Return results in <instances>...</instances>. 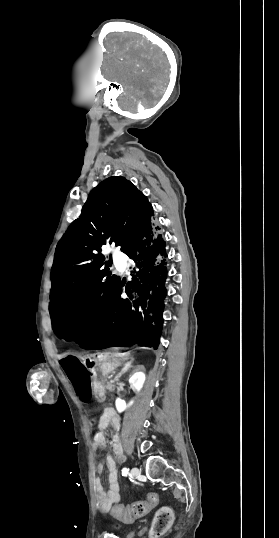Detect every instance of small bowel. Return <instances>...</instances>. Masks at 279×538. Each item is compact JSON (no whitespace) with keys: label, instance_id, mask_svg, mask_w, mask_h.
<instances>
[{"label":"small bowel","instance_id":"small-bowel-1","mask_svg":"<svg viewBox=\"0 0 279 538\" xmlns=\"http://www.w3.org/2000/svg\"><path fill=\"white\" fill-rule=\"evenodd\" d=\"M76 396L82 402H89L93 396V379L90 373L85 369H77L67 373ZM110 425L116 432L119 430V421L115 414L104 413L97 423L98 430L94 435L93 447L103 449L107 445L106 427ZM110 447L113 456H107L105 464L97 465V473H103L105 467L108 469L109 488L104 490L99 478L95 481V490L97 494V503L101 508H109L112 504L120 500L121 486L118 479L116 459L122 458V445L118 433H115L110 440Z\"/></svg>","mask_w":279,"mask_h":538}]
</instances>
